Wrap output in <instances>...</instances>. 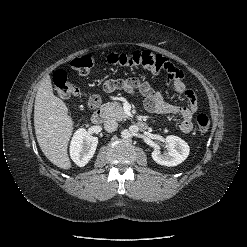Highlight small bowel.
<instances>
[{
  "label": "small bowel",
  "instance_id": "small-bowel-1",
  "mask_svg": "<svg viewBox=\"0 0 247 247\" xmlns=\"http://www.w3.org/2000/svg\"><path fill=\"white\" fill-rule=\"evenodd\" d=\"M104 89L108 92L122 89L128 93H137L143 99L144 107L148 112L177 116L180 118L179 129L185 134H189L193 129L192 118L198 110L197 96L193 90L186 86L182 77L174 80V89L178 94L187 98V106L167 103L162 94L154 90L149 82L140 81L137 78L108 80L104 83ZM100 102V96L93 95L88 104L90 108H96Z\"/></svg>",
  "mask_w": 247,
  "mask_h": 247
}]
</instances>
